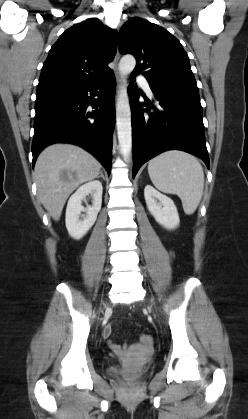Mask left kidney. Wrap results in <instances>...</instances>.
Returning a JSON list of instances; mask_svg holds the SVG:
<instances>
[{"label":"left kidney","instance_id":"left-kidney-1","mask_svg":"<svg viewBox=\"0 0 248 419\" xmlns=\"http://www.w3.org/2000/svg\"><path fill=\"white\" fill-rule=\"evenodd\" d=\"M147 208L155 220L166 229H175L179 225V215L173 200L147 185L144 189Z\"/></svg>","mask_w":248,"mask_h":419}]
</instances>
